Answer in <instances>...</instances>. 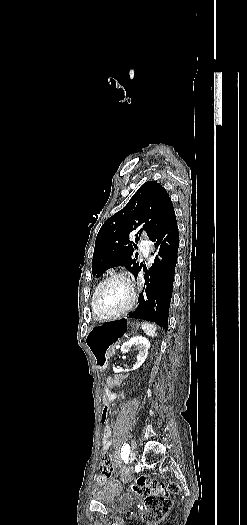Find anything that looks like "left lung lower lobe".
I'll use <instances>...</instances> for the list:
<instances>
[{
  "label": "left lung lower lobe",
  "instance_id": "left-lung-lower-lobe-1",
  "mask_svg": "<svg viewBox=\"0 0 247 525\" xmlns=\"http://www.w3.org/2000/svg\"><path fill=\"white\" fill-rule=\"evenodd\" d=\"M149 239L154 242L156 248L155 261L150 269L144 268L145 290L139 295L138 306L134 312L129 314V317L155 322L167 330L179 247L175 212L158 227Z\"/></svg>",
  "mask_w": 247,
  "mask_h": 525
}]
</instances>
